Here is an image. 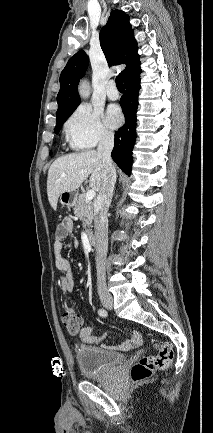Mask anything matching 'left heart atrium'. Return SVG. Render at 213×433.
Instances as JSON below:
<instances>
[{
  "instance_id": "1",
  "label": "left heart atrium",
  "mask_w": 213,
  "mask_h": 433,
  "mask_svg": "<svg viewBox=\"0 0 213 433\" xmlns=\"http://www.w3.org/2000/svg\"><path fill=\"white\" fill-rule=\"evenodd\" d=\"M123 120L121 111L116 106H111L106 114V122L109 126L116 128L121 125Z\"/></svg>"
}]
</instances>
